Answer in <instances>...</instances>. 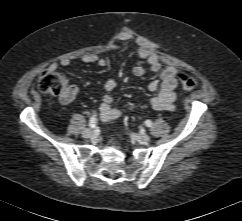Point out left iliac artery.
<instances>
[{"label":"left iliac artery","mask_w":242,"mask_h":221,"mask_svg":"<svg viewBox=\"0 0 242 221\" xmlns=\"http://www.w3.org/2000/svg\"><path fill=\"white\" fill-rule=\"evenodd\" d=\"M145 125H146L147 127H152V122H151L150 120H146V121H145Z\"/></svg>","instance_id":"obj_1"}]
</instances>
